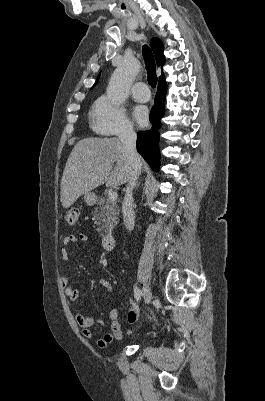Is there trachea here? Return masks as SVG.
<instances>
[{
  "label": "trachea",
  "instance_id": "3493384b",
  "mask_svg": "<svg viewBox=\"0 0 265 401\" xmlns=\"http://www.w3.org/2000/svg\"><path fill=\"white\" fill-rule=\"evenodd\" d=\"M143 57L145 60L147 75H148V83L149 85L154 88L157 84L158 78L156 76V64L154 60V56L152 51L147 45L143 46Z\"/></svg>",
  "mask_w": 265,
  "mask_h": 401
}]
</instances>
